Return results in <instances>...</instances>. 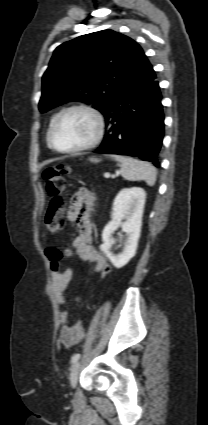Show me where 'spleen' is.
Segmentation results:
<instances>
[{"label": "spleen", "instance_id": "obj_1", "mask_svg": "<svg viewBox=\"0 0 208 425\" xmlns=\"http://www.w3.org/2000/svg\"><path fill=\"white\" fill-rule=\"evenodd\" d=\"M121 163V175L129 181L144 180L147 185L153 186L156 182V169L148 162L139 161L131 157L113 155Z\"/></svg>", "mask_w": 208, "mask_h": 425}]
</instances>
